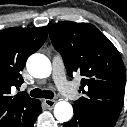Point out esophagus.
<instances>
[{
  "label": "esophagus",
  "mask_w": 127,
  "mask_h": 127,
  "mask_svg": "<svg viewBox=\"0 0 127 127\" xmlns=\"http://www.w3.org/2000/svg\"><path fill=\"white\" fill-rule=\"evenodd\" d=\"M55 103H56V101L53 99H45L44 100V104L46 105V107L48 109H52L54 107Z\"/></svg>",
  "instance_id": "obj_1"
}]
</instances>
